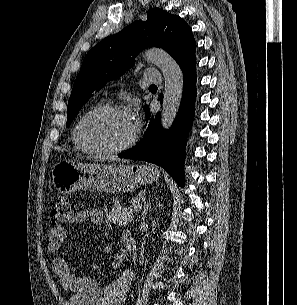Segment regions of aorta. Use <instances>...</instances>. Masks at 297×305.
Listing matches in <instances>:
<instances>
[{"label":"aorta","instance_id":"1","mask_svg":"<svg viewBox=\"0 0 297 305\" xmlns=\"http://www.w3.org/2000/svg\"><path fill=\"white\" fill-rule=\"evenodd\" d=\"M147 61L155 64L162 72L165 81L161 124L168 129L178 111L183 92V73L177 62L164 50L147 49L144 52Z\"/></svg>","mask_w":297,"mask_h":305}]
</instances>
